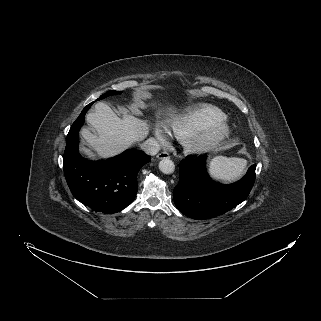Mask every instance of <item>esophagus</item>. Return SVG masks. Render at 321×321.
Masks as SVG:
<instances>
[{"label": "esophagus", "instance_id": "1", "mask_svg": "<svg viewBox=\"0 0 321 321\" xmlns=\"http://www.w3.org/2000/svg\"><path fill=\"white\" fill-rule=\"evenodd\" d=\"M156 157H157V159H168V158H170L169 153H167V152H161Z\"/></svg>", "mask_w": 321, "mask_h": 321}]
</instances>
